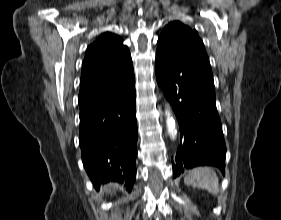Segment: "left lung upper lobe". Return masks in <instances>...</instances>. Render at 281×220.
<instances>
[{
	"label": "left lung upper lobe",
	"instance_id": "1",
	"mask_svg": "<svg viewBox=\"0 0 281 220\" xmlns=\"http://www.w3.org/2000/svg\"><path fill=\"white\" fill-rule=\"evenodd\" d=\"M158 57H181L212 74L209 58L196 30L179 21L170 22L157 42Z\"/></svg>",
	"mask_w": 281,
	"mask_h": 220
}]
</instances>
